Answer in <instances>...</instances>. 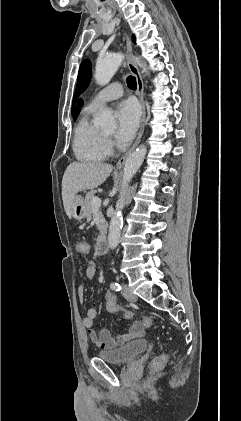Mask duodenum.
<instances>
[{"mask_svg":"<svg viewBox=\"0 0 241 421\" xmlns=\"http://www.w3.org/2000/svg\"><path fill=\"white\" fill-rule=\"evenodd\" d=\"M108 250V244H107V238L105 236H102L96 245V251L98 254L102 255L105 254Z\"/></svg>","mask_w":241,"mask_h":421,"instance_id":"410a0bca","label":"duodenum"}]
</instances>
